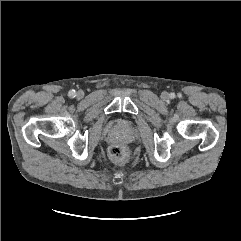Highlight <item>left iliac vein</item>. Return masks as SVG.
<instances>
[{
	"mask_svg": "<svg viewBox=\"0 0 241 241\" xmlns=\"http://www.w3.org/2000/svg\"><path fill=\"white\" fill-rule=\"evenodd\" d=\"M162 98H163V99H167V98H168V94H167V93H163V94H162Z\"/></svg>",
	"mask_w": 241,
	"mask_h": 241,
	"instance_id": "left-iliac-vein-1",
	"label": "left iliac vein"
}]
</instances>
